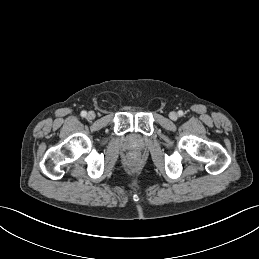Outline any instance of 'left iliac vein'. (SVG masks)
<instances>
[{
    "label": "left iliac vein",
    "mask_w": 259,
    "mask_h": 259,
    "mask_svg": "<svg viewBox=\"0 0 259 259\" xmlns=\"http://www.w3.org/2000/svg\"><path fill=\"white\" fill-rule=\"evenodd\" d=\"M169 117H170L172 120H177L178 115H177L176 112H171V113L169 114Z\"/></svg>",
    "instance_id": "obj_1"
}]
</instances>
